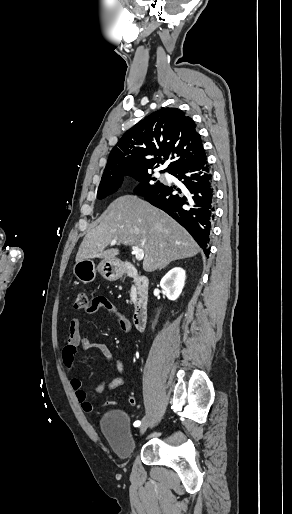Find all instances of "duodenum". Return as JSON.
<instances>
[{
	"label": "duodenum",
	"instance_id": "obj_1",
	"mask_svg": "<svg viewBox=\"0 0 292 514\" xmlns=\"http://www.w3.org/2000/svg\"><path fill=\"white\" fill-rule=\"evenodd\" d=\"M125 273L134 282L136 295L133 313L134 325L137 330H142L148 319L149 279L140 274L132 264L126 266Z\"/></svg>",
	"mask_w": 292,
	"mask_h": 514
}]
</instances>
